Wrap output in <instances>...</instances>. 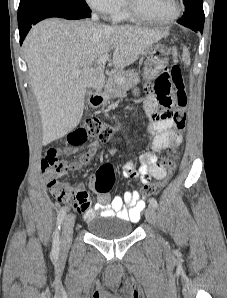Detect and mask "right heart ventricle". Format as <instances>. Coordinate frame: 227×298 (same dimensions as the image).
<instances>
[{"label": "right heart ventricle", "mask_w": 227, "mask_h": 298, "mask_svg": "<svg viewBox=\"0 0 227 298\" xmlns=\"http://www.w3.org/2000/svg\"><path fill=\"white\" fill-rule=\"evenodd\" d=\"M112 18L115 21L132 20V18L126 13V11L122 5L118 9V11L112 15Z\"/></svg>", "instance_id": "obj_1"}]
</instances>
